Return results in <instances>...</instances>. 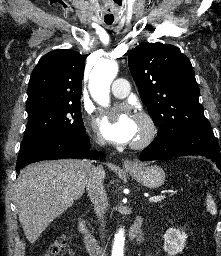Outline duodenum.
<instances>
[{
  "label": "duodenum",
  "instance_id": "duodenum-1",
  "mask_svg": "<svg viewBox=\"0 0 221 256\" xmlns=\"http://www.w3.org/2000/svg\"><path fill=\"white\" fill-rule=\"evenodd\" d=\"M78 230L83 236V242L85 248L91 256H102L103 248L94 235L91 233L87 227L83 216L78 218ZM140 230V219H137L134 225L132 226L131 233L133 236L137 235Z\"/></svg>",
  "mask_w": 221,
  "mask_h": 256
}]
</instances>
